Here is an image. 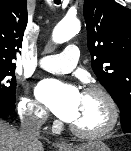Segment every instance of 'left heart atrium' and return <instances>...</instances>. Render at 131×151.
Here are the masks:
<instances>
[{
    "mask_svg": "<svg viewBox=\"0 0 131 151\" xmlns=\"http://www.w3.org/2000/svg\"><path fill=\"white\" fill-rule=\"evenodd\" d=\"M36 96L60 119L72 122L78 114L82 94L72 85L47 79L37 85Z\"/></svg>",
    "mask_w": 131,
    "mask_h": 151,
    "instance_id": "39dd6f15",
    "label": "left heart atrium"
}]
</instances>
